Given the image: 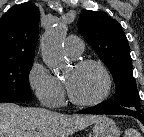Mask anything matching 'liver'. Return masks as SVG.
Returning <instances> with one entry per match:
<instances>
[{
  "instance_id": "liver-1",
  "label": "liver",
  "mask_w": 144,
  "mask_h": 137,
  "mask_svg": "<svg viewBox=\"0 0 144 137\" xmlns=\"http://www.w3.org/2000/svg\"><path fill=\"white\" fill-rule=\"evenodd\" d=\"M101 117L0 103V137H70Z\"/></svg>"
}]
</instances>
